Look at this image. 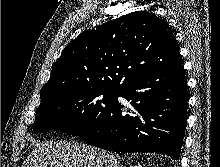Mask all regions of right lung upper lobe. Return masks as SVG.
Listing matches in <instances>:
<instances>
[{
	"label": "right lung upper lobe",
	"mask_w": 220,
	"mask_h": 167,
	"mask_svg": "<svg viewBox=\"0 0 220 167\" xmlns=\"http://www.w3.org/2000/svg\"><path fill=\"white\" fill-rule=\"evenodd\" d=\"M182 65L174 30L152 13L135 11L85 30L52 65L40 97L100 87L120 90L131 82Z\"/></svg>",
	"instance_id": "cb5924a9"
}]
</instances>
